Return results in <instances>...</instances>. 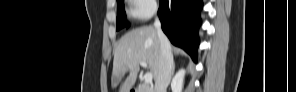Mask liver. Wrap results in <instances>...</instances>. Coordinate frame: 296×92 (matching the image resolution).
<instances>
[{"instance_id": "6515ba94", "label": "liver", "mask_w": 296, "mask_h": 92, "mask_svg": "<svg viewBox=\"0 0 296 92\" xmlns=\"http://www.w3.org/2000/svg\"><path fill=\"white\" fill-rule=\"evenodd\" d=\"M160 41L156 28L143 26L126 33L114 51L112 87H116L126 72L120 92H129L136 82L140 61H145L156 80L159 72Z\"/></svg>"}]
</instances>
